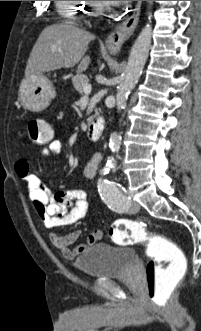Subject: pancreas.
Returning <instances> with one entry per match:
<instances>
[{
  "mask_svg": "<svg viewBox=\"0 0 201 331\" xmlns=\"http://www.w3.org/2000/svg\"><path fill=\"white\" fill-rule=\"evenodd\" d=\"M72 82L74 85V88L80 93L82 94L83 92V87L89 83V79L87 78L86 75L80 74V75H76L72 78Z\"/></svg>",
  "mask_w": 201,
  "mask_h": 331,
  "instance_id": "cf45deb5",
  "label": "pancreas"
}]
</instances>
